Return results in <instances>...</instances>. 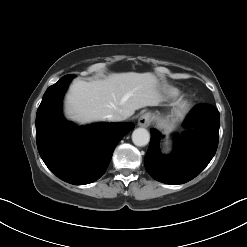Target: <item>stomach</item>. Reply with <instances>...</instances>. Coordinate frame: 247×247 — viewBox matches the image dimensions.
Masks as SVG:
<instances>
[{"instance_id":"0dacf381","label":"stomach","mask_w":247,"mask_h":247,"mask_svg":"<svg viewBox=\"0 0 247 247\" xmlns=\"http://www.w3.org/2000/svg\"><path fill=\"white\" fill-rule=\"evenodd\" d=\"M177 114H171L170 116H167L166 118H160L157 117L158 125L163 128L165 131H169L174 128L176 121L178 119Z\"/></svg>"}]
</instances>
